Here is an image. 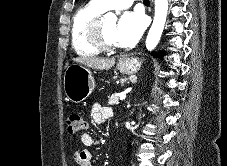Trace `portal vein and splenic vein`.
Returning a JSON list of instances; mask_svg holds the SVG:
<instances>
[{"label": "portal vein and splenic vein", "mask_w": 227, "mask_h": 166, "mask_svg": "<svg viewBox=\"0 0 227 166\" xmlns=\"http://www.w3.org/2000/svg\"><path fill=\"white\" fill-rule=\"evenodd\" d=\"M126 98V95H121L120 100H124Z\"/></svg>", "instance_id": "portal-vein-and-splenic-vein-1"}]
</instances>
